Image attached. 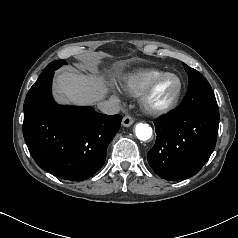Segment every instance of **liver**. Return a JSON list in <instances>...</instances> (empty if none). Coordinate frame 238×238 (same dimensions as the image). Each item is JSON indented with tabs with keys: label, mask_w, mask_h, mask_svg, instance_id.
<instances>
[{
	"label": "liver",
	"mask_w": 238,
	"mask_h": 238,
	"mask_svg": "<svg viewBox=\"0 0 238 238\" xmlns=\"http://www.w3.org/2000/svg\"><path fill=\"white\" fill-rule=\"evenodd\" d=\"M56 99L75 105H92L104 99L108 93L103 79L74 70L63 71L56 78Z\"/></svg>",
	"instance_id": "1"
}]
</instances>
